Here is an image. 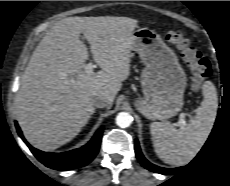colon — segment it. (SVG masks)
Masks as SVG:
<instances>
[{"label":"colon","instance_id":"obj_1","mask_svg":"<svg viewBox=\"0 0 230 186\" xmlns=\"http://www.w3.org/2000/svg\"><path fill=\"white\" fill-rule=\"evenodd\" d=\"M163 36L180 51L183 61L191 71L193 86L200 87L211 74L209 61L191 45L190 40L182 32L169 30Z\"/></svg>","mask_w":230,"mask_h":186}]
</instances>
